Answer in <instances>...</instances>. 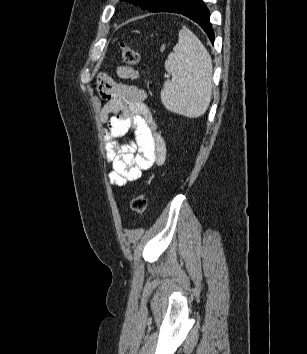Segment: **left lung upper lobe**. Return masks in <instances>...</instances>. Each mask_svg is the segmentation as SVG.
Instances as JSON below:
<instances>
[{"label":"left lung upper lobe","instance_id":"obj_1","mask_svg":"<svg viewBox=\"0 0 307 354\" xmlns=\"http://www.w3.org/2000/svg\"><path fill=\"white\" fill-rule=\"evenodd\" d=\"M120 1H123V0H120ZM125 1L139 5L144 10H150L152 12H157L163 6H165L169 0H125Z\"/></svg>","mask_w":307,"mask_h":354}]
</instances>
